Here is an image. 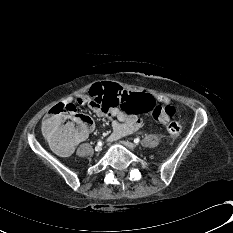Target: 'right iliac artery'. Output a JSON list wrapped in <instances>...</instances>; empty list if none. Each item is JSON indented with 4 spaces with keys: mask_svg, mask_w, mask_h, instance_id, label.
<instances>
[{
    "mask_svg": "<svg viewBox=\"0 0 233 233\" xmlns=\"http://www.w3.org/2000/svg\"><path fill=\"white\" fill-rule=\"evenodd\" d=\"M98 145H99V146H101V145H102V142H101V141H99V142H98Z\"/></svg>",
    "mask_w": 233,
    "mask_h": 233,
    "instance_id": "1",
    "label": "right iliac artery"
}]
</instances>
